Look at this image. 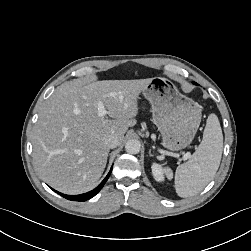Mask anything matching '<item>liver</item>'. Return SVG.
Returning <instances> with one entry per match:
<instances>
[{
  "mask_svg": "<svg viewBox=\"0 0 251 251\" xmlns=\"http://www.w3.org/2000/svg\"><path fill=\"white\" fill-rule=\"evenodd\" d=\"M152 78L67 81L42 105L33 134L34 163L43 179L66 194L95 187L107 163L104 140L121 143L138 114V98ZM101 101L109 117L98 115Z\"/></svg>",
  "mask_w": 251,
  "mask_h": 251,
  "instance_id": "6515ba94",
  "label": "liver"
}]
</instances>
